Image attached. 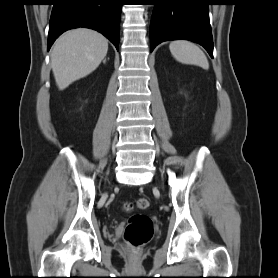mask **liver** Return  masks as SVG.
I'll return each instance as SVG.
<instances>
[{
	"mask_svg": "<svg viewBox=\"0 0 278 278\" xmlns=\"http://www.w3.org/2000/svg\"><path fill=\"white\" fill-rule=\"evenodd\" d=\"M107 51L108 40L97 31L78 28L63 33L51 53V67L59 90L92 73Z\"/></svg>",
	"mask_w": 278,
	"mask_h": 278,
	"instance_id": "6515ba94",
	"label": "liver"
}]
</instances>
